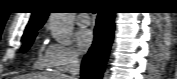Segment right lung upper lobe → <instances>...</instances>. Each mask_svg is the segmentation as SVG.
Listing matches in <instances>:
<instances>
[{"instance_id":"obj_1","label":"right lung upper lobe","mask_w":177,"mask_h":79,"mask_svg":"<svg viewBox=\"0 0 177 79\" xmlns=\"http://www.w3.org/2000/svg\"><path fill=\"white\" fill-rule=\"evenodd\" d=\"M49 12L45 11L44 9L40 8L33 12L31 19L25 29L24 35L29 34L30 32L37 31L42 27V25L45 23Z\"/></svg>"}]
</instances>
